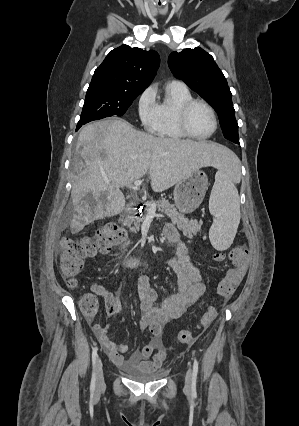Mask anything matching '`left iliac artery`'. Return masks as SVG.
<instances>
[{"label":"left iliac artery","mask_w":299,"mask_h":426,"mask_svg":"<svg viewBox=\"0 0 299 426\" xmlns=\"http://www.w3.org/2000/svg\"><path fill=\"white\" fill-rule=\"evenodd\" d=\"M197 374H198V361L196 358L194 359L193 363V374H192V384L195 386L196 380H197Z\"/></svg>","instance_id":"1"}]
</instances>
